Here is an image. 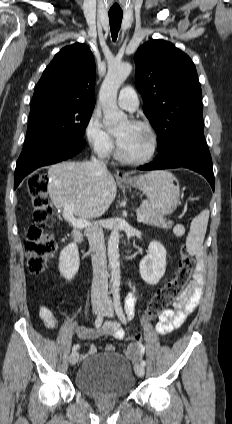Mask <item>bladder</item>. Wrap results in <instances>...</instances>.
<instances>
[{
    "label": "bladder",
    "instance_id": "31cf9c89",
    "mask_svg": "<svg viewBox=\"0 0 232 424\" xmlns=\"http://www.w3.org/2000/svg\"><path fill=\"white\" fill-rule=\"evenodd\" d=\"M136 383L129 360L119 354L94 355L80 365L75 384L83 394L96 398H122Z\"/></svg>",
    "mask_w": 232,
    "mask_h": 424
}]
</instances>
